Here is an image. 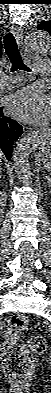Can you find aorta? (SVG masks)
<instances>
[{
	"label": "aorta",
	"mask_w": 51,
	"mask_h": 393,
	"mask_svg": "<svg viewBox=\"0 0 51 393\" xmlns=\"http://www.w3.org/2000/svg\"><path fill=\"white\" fill-rule=\"evenodd\" d=\"M26 43L28 47L37 54H48L51 49V38L48 33L41 30L31 32ZM50 141V130L41 129L28 137L22 139L14 150L13 162L15 172L18 174L22 183L30 181V162L29 154L33 148L45 146Z\"/></svg>",
	"instance_id": "762f6f07"
}]
</instances>
